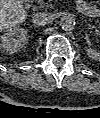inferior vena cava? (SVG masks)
Segmentation results:
<instances>
[{"instance_id":"1","label":"inferior vena cava","mask_w":100,"mask_h":118,"mask_svg":"<svg viewBox=\"0 0 100 118\" xmlns=\"http://www.w3.org/2000/svg\"><path fill=\"white\" fill-rule=\"evenodd\" d=\"M51 22V17L46 13H36L33 16V23L38 26H44Z\"/></svg>"}]
</instances>
